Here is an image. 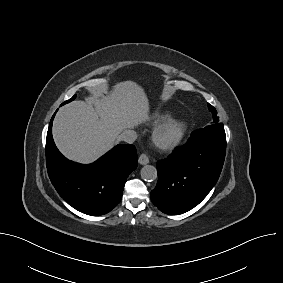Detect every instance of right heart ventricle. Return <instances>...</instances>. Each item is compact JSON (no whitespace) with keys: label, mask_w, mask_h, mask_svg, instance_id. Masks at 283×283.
I'll use <instances>...</instances> for the list:
<instances>
[{"label":"right heart ventricle","mask_w":283,"mask_h":283,"mask_svg":"<svg viewBox=\"0 0 283 283\" xmlns=\"http://www.w3.org/2000/svg\"><path fill=\"white\" fill-rule=\"evenodd\" d=\"M169 117V114L165 113H155L151 116L150 122L152 124H158L165 121Z\"/></svg>","instance_id":"e07e8e85"}]
</instances>
